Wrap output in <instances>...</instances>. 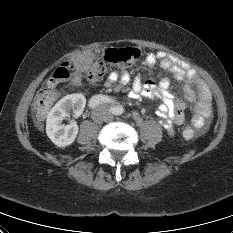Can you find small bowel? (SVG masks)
<instances>
[{"label":"small bowel","instance_id":"1","mask_svg":"<svg viewBox=\"0 0 233 233\" xmlns=\"http://www.w3.org/2000/svg\"><path fill=\"white\" fill-rule=\"evenodd\" d=\"M78 69L84 71L87 69L90 58L79 56L76 59ZM159 63L161 67L169 71L176 79L183 80L186 83L185 97L195 102L192 113V124L198 129L204 130L211 114V92L206 83L197 75L190 67L185 66L169 57L163 51L148 53L145 57L144 64L148 68H152ZM131 81L129 72L125 69L112 71L106 81L105 86L119 89L127 85ZM73 84L80 83V76L76 74L72 79ZM132 98L146 96L150 98H158L161 103L156 111V116L160 124L166 129L172 128L176 124H181L184 120L185 103L177 99L170 91V80L165 77L158 83L153 81L143 82L140 76H136L132 90L130 92Z\"/></svg>","mask_w":233,"mask_h":233}]
</instances>
